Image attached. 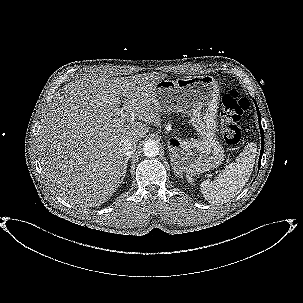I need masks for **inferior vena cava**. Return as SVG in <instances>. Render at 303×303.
<instances>
[{
    "label": "inferior vena cava",
    "instance_id": "inferior-vena-cava-1",
    "mask_svg": "<svg viewBox=\"0 0 303 303\" xmlns=\"http://www.w3.org/2000/svg\"><path fill=\"white\" fill-rule=\"evenodd\" d=\"M121 148L124 156L131 157L133 152L136 150V143L129 138H124L121 141Z\"/></svg>",
    "mask_w": 303,
    "mask_h": 303
}]
</instances>
